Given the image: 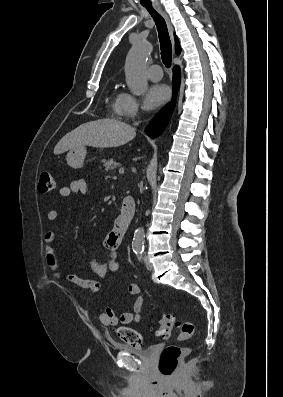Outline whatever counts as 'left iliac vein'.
Listing matches in <instances>:
<instances>
[{
	"instance_id": "obj_1",
	"label": "left iliac vein",
	"mask_w": 283,
	"mask_h": 397,
	"mask_svg": "<svg viewBox=\"0 0 283 397\" xmlns=\"http://www.w3.org/2000/svg\"><path fill=\"white\" fill-rule=\"evenodd\" d=\"M144 263H145V266H146V268H147L148 270H152V264H151V262L149 261L148 257H144Z\"/></svg>"
}]
</instances>
